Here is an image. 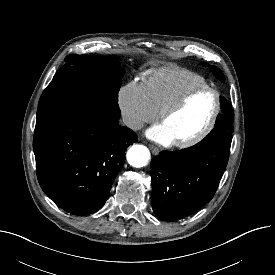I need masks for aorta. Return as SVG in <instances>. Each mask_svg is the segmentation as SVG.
Listing matches in <instances>:
<instances>
[{
    "label": "aorta",
    "instance_id": "aorta-1",
    "mask_svg": "<svg viewBox=\"0 0 275 275\" xmlns=\"http://www.w3.org/2000/svg\"><path fill=\"white\" fill-rule=\"evenodd\" d=\"M150 160V151L144 145H133L127 151L128 163L136 168L144 167Z\"/></svg>",
    "mask_w": 275,
    "mask_h": 275
}]
</instances>
